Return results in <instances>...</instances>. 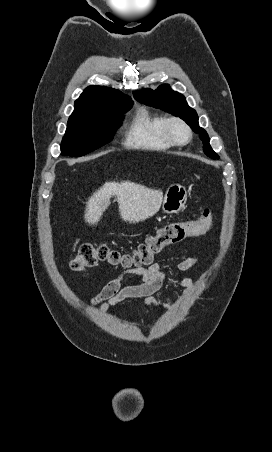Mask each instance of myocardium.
<instances>
[{"instance_id":"myocardium-1","label":"myocardium","mask_w":272,"mask_h":452,"mask_svg":"<svg viewBox=\"0 0 272 452\" xmlns=\"http://www.w3.org/2000/svg\"><path fill=\"white\" fill-rule=\"evenodd\" d=\"M175 126H180L184 130V132H185L184 139L180 140L175 136V134H174ZM165 133H166L167 138L173 145H185L192 138V130H191L190 126L187 124V122L185 120H183L180 117H176V116L167 118L166 123H165Z\"/></svg>"}]
</instances>
